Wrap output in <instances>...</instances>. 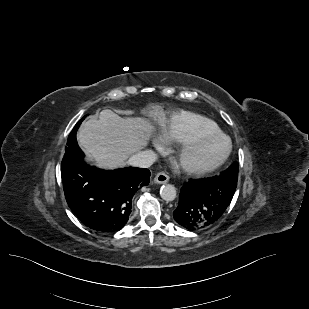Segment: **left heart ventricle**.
<instances>
[{
  "label": "left heart ventricle",
  "mask_w": 309,
  "mask_h": 309,
  "mask_svg": "<svg viewBox=\"0 0 309 309\" xmlns=\"http://www.w3.org/2000/svg\"><path fill=\"white\" fill-rule=\"evenodd\" d=\"M226 149V142L214 140L202 144L189 157V161L196 164H208L219 158Z\"/></svg>",
  "instance_id": "b2bd125f"
}]
</instances>
